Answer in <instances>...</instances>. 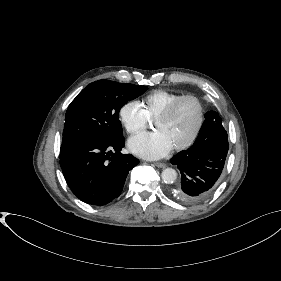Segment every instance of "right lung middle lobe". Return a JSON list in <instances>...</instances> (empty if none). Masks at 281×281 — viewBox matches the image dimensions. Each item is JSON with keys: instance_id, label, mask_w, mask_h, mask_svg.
Here are the masks:
<instances>
[{"instance_id": "right-lung-middle-lobe-1", "label": "right lung middle lobe", "mask_w": 281, "mask_h": 281, "mask_svg": "<svg viewBox=\"0 0 281 281\" xmlns=\"http://www.w3.org/2000/svg\"><path fill=\"white\" fill-rule=\"evenodd\" d=\"M148 87L99 80L89 84L68 106L60 151L81 142L123 137L119 111Z\"/></svg>"}]
</instances>
